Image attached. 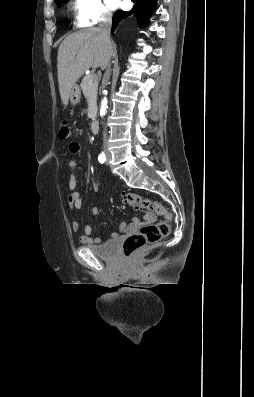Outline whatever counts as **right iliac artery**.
<instances>
[{
    "label": "right iliac artery",
    "mask_w": 254,
    "mask_h": 397,
    "mask_svg": "<svg viewBox=\"0 0 254 397\" xmlns=\"http://www.w3.org/2000/svg\"><path fill=\"white\" fill-rule=\"evenodd\" d=\"M98 160L102 164L105 162L106 156H105V154L103 152L99 155Z\"/></svg>",
    "instance_id": "right-iliac-artery-1"
}]
</instances>
